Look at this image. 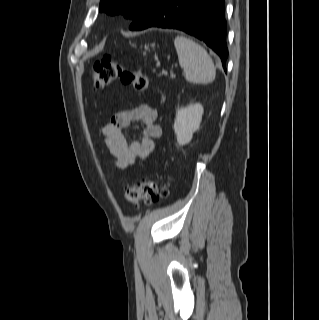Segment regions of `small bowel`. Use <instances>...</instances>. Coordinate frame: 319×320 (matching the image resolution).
Segmentation results:
<instances>
[{
	"mask_svg": "<svg viewBox=\"0 0 319 320\" xmlns=\"http://www.w3.org/2000/svg\"><path fill=\"white\" fill-rule=\"evenodd\" d=\"M157 116V111L152 106L140 104L132 109L118 111L102 127L101 134L115 167L125 169L154 151L156 140L162 132ZM133 122L143 123L142 138L129 142L123 130Z\"/></svg>",
	"mask_w": 319,
	"mask_h": 320,
	"instance_id": "small-bowel-1",
	"label": "small bowel"
}]
</instances>
